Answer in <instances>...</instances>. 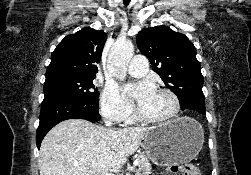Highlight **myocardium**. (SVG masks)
<instances>
[{
	"label": "myocardium",
	"mask_w": 251,
	"mask_h": 175,
	"mask_svg": "<svg viewBox=\"0 0 251 175\" xmlns=\"http://www.w3.org/2000/svg\"><path fill=\"white\" fill-rule=\"evenodd\" d=\"M157 91L166 93L170 96V98L174 104V112L166 118L148 116V115H145L142 112H140L139 113L140 117L148 122L161 124V125L170 124V123L177 121L181 117L182 111H183L182 102H181V99H180L178 93L169 87H160L157 89Z\"/></svg>",
	"instance_id": "1"
}]
</instances>
